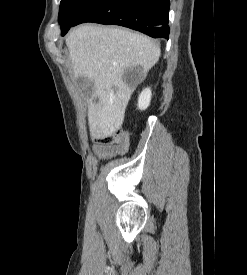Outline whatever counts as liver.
I'll return each mask as SVG.
<instances>
[{
    "instance_id": "6515ba94",
    "label": "liver",
    "mask_w": 247,
    "mask_h": 275,
    "mask_svg": "<svg viewBox=\"0 0 247 275\" xmlns=\"http://www.w3.org/2000/svg\"><path fill=\"white\" fill-rule=\"evenodd\" d=\"M73 76L94 83L88 99L91 137L103 139L123 124L136 85L126 84L128 67L140 66L143 76L156 64L160 47L149 37L118 27L82 25L66 38Z\"/></svg>"
}]
</instances>
